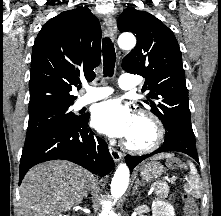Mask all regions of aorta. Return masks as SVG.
Returning <instances> with one entry per match:
<instances>
[{
	"label": "aorta",
	"instance_id": "762f6f07",
	"mask_svg": "<svg viewBox=\"0 0 221 216\" xmlns=\"http://www.w3.org/2000/svg\"><path fill=\"white\" fill-rule=\"evenodd\" d=\"M118 45L121 49L130 50L135 47L136 39L130 33L121 34L118 38ZM129 168L121 163L114 174L111 182V195L114 199L120 198L126 191L129 184Z\"/></svg>",
	"mask_w": 221,
	"mask_h": 216
}]
</instances>
